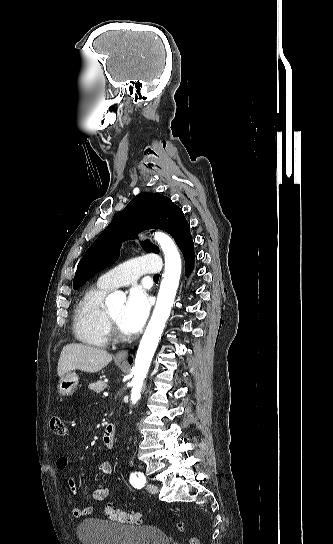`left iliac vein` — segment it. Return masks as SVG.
<instances>
[{"instance_id": "4c4485c4", "label": "left iliac vein", "mask_w": 333, "mask_h": 544, "mask_svg": "<svg viewBox=\"0 0 333 544\" xmlns=\"http://www.w3.org/2000/svg\"><path fill=\"white\" fill-rule=\"evenodd\" d=\"M146 488H147L148 492H150L152 494L158 493V487L156 485H154V484H148Z\"/></svg>"}]
</instances>
